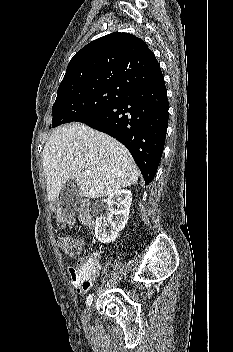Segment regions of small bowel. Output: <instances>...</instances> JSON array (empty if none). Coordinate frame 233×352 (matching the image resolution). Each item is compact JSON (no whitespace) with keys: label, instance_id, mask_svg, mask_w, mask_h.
I'll return each mask as SVG.
<instances>
[{"label":"small bowel","instance_id":"small-bowel-1","mask_svg":"<svg viewBox=\"0 0 233 352\" xmlns=\"http://www.w3.org/2000/svg\"><path fill=\"white\" fill-rule=\"evenodd\" d=\"M89 259L94 260L98 264L99 271L96 274H94L92 277H90L86 280L76 277L74 275V265L72 263H69V265H68V272L71 277L72 285L74 286V288L76 289V291L79 294H83V293L87 292L89 289H91L94 281L97 279V277L99 276V273H100V263H99L98 258L97 257H89Z\"/></svg>","mask_w":233,"mask_h":352}]
</instances>
